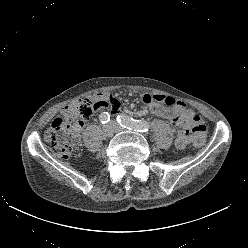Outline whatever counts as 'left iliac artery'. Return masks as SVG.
I'll list each match as a JSON object with an SVG mask.
<instances>
[{"instance_id":"left-iliac-artery-1","label":"left iliac artery","mask_w":248,"mask_h":248,"mask_svg":"<svg viewBox=\"0 0 248 248\" xmlns=\"http://www.w3.org/2000/svg\"><path fill=\"white\" fill-rule=\"evenodd\" d=\"M117 122L124 128L138 132H147L150 128V124L147 121L134 120L127 115L117 116Z\"/></svg>"}]
</instances>
